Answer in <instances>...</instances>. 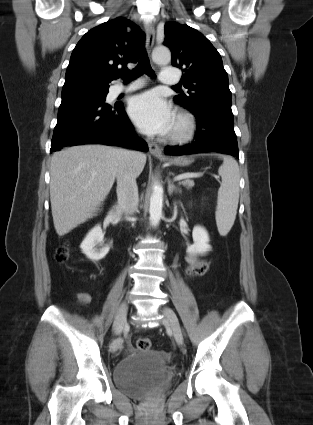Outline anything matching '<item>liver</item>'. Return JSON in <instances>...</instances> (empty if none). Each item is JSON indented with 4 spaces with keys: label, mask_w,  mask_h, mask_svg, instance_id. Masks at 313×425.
<instances>
[{
    "label": "liver",
    "mask_w": 313,
    "mask_h": 425,
    "mask_svg": "<svg viewBox=\"0 0 313 425\" xmlns=\"http://www.w3.org/2000/svg\"><path fill=\"white\" fill-rule=\"evenodd\" d=\"M124 151L104 145H81L53 154L50 201L59 236L95 215L114 184ZM137 153L133 164L136 177L146 164V155Z\"/></svg>",
    "instance_id": "1"
}]
</instances>
